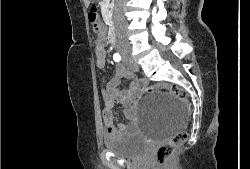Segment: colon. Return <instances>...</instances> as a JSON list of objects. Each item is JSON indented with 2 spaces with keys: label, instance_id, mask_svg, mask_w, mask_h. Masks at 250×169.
Returning <instances> with one entry per match:
<instances>
[{
  "label": "colon",
  "instance_id": "colon-1",
  "mask_svg": "<svg viewBox=\"0 0 250 169\" xmlns=\"http://www.w3.org/2000/svg\"><path fill=\"white\" fill-rule=\"evenodd\" d=\"M88 20L92 24L93 29L98 32L102 26L99 19L98 11L92 7L88 12ZM154 90H166L173 97L181 101V104H186V115H192L194 102H190V97L186 88H179L174 84L171 85H149L147 90H144V95L154 93ZM189 130H178V133L171 134L170 138H166L164 145H159V150H155V160L159 169H176V164L172 161V155H177V150H183L184 141L188 139Z\"/></svg>",
  "mask_w": 250,
  "mask_h": 169
}]
</instances>
